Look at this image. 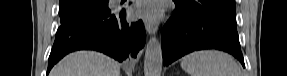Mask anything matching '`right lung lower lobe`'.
I'll use <instances>...</instances> for the list:
<instances>
[{"label": "right lung lower lobe", "mask_w": 287, "mask_h": 76, "mask_svg": "<svg viewBox=\"0 0 287 76\" xmlns=\"http://www.w3.org/2000/svg\"><path fill=\"white\" fill-rule=\"evenodd\" d=\"M145 29L141 20L126 21V13L111 11L108 6L61 25L56 33L47 73L66 54L91 49L103 52L122 62L136 57L145 44Z\"/></svg>", "instance_id": "right-lung-lower-lobe-1"}]
</instances>
